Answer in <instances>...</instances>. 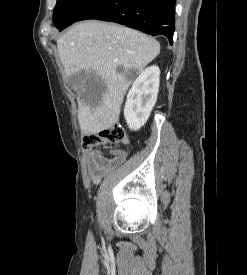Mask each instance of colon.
Masks as SVG:
<instances>
[{
  "label": "colon",
  "instance_id": "1",
  "mask_svg": "<svg viewBox=\"0 0 247 275\" xmlns=\"http://www.w3.org/2000/svg\"><path fill=\"white\" fill-rule=\"evenodd\" d=\"M127 142V137L124 129L115 125L110 128L104 129L98 133H88L82 138V145L86 149H91L101 145H116Z\"/></svg>",
  "mask_w": 247,
  "mask_h": 275
}]
</instances>
